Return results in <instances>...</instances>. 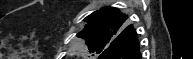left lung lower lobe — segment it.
I'll use <instances>...</instances> for the list:
<instances>
[{
  "instance_id": "1",
  "label": "left lung lower lobe",
  "mask_w": 193,
  "mask_h": 59,
  "mask_svg": "<svg viewBox=\"0 0 193 59\" xmlns=\"http://www.w3.org/2000/svg\"><path fill=\"white\" fill-rule=\"evenodd\" d=\"M136 35L132 26L127 27L120 39L107 48L98 59H141Z\"/></svg>"
}]
</instances>
